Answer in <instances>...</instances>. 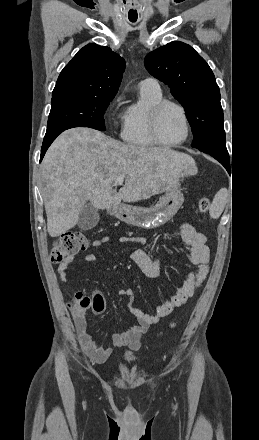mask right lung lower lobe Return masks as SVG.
I'll return each instance as SVG.
<instances>
[{
    "label": "right lung lower lobe",
    "instance_id": "obj_1",
    "mask_svg": "<svg viewBox=\"0 0 259 440\" xmlns=\"http://www.w3.org/2000/svg\"><path fill=\"white\" fill-rule=\"evenodd\" d=\"M60 133H57L53 136L50 137H44V141L42 144V149H41V156H40V162L43 159V156L45 155L47 149L49 148V146L51 145V143L55 140V138L59 135Z\"/></svg>",
    "mask_w": 259,
    "mask_h": 440
}]
</instances>
